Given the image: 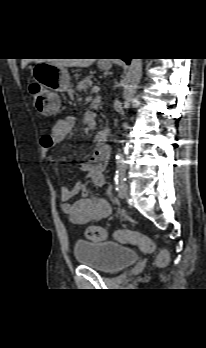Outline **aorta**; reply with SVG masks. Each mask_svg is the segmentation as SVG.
Segmentation results:
<instances>
[{"mask_svg":"<svg viewBox=\"0 0 206 348\" xmlns=\"http://www.w3.org/2000/svg\"><path fill=\"white\" fill-rule=\"evenodd\" d=\"M142 77V59H132L123 83V98L130 102Z\"/></svg>","mask_w":206,"mask_h":348,"instance_id":"aorta-1","label":"aorta"}]
</instances>
